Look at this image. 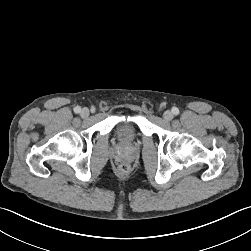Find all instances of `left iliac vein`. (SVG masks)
I'll return each instance as SVG.
<instances>
[{"instance_id": "obj_1", "label": "left iliac vein", "mask_w": 251, "mask_h": 251, "mask_svg": "<svg viewBox=\"0 0 251 251\" xmlns=\"http://www.w3.org/2000/svg\"><path fill=\"white\" fill-rule=\"evenodd\" d=\"M174 117L173 113L171 111H165L164 114H163V118L166 120V121H170L172 120Z\"/></svg>"}]
</instances>
